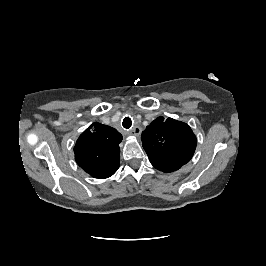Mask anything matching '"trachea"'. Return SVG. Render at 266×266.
<instances>
[{"instance_id":"obj_1","label":"trachea","mask_w":266,"mask_h":266,"mask_svg":"<svg viewBox=\"0 0 266 266\" xmlns=\"http://www.w3.org/2000/svg\"><path fill=\"white\" fill-rule=\"evenodd\" d=\"M122 125L124 128L129 129L132 126V120L130 117H125L123 119Z\"/></svg>"}]
</instances>
